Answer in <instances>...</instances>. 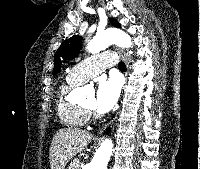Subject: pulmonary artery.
Segmentation results:
<instances>
[{"label":"pulmonary artery","instance_id":"1","mask_svg":"<svg viewBox=\"0 0 200 169\" xmlns=\"http://www.w3.org/2000/svg\"><path fill=\"white\" fill-rule=\"evenodd\" d=\"M115 64L116 56L114 53L105 52L93 55L74 66L67 78L77 83H84Z\"/></svg>","mask_w":200,"mask_h":169}]
</instances>
